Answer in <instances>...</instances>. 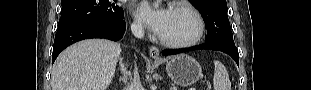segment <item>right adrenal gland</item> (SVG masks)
Segmentation results:
<instances>
[{"mask_svg": "<svg viewBox=\"0 0 311 90\" xmlns=\"http://www.w3.org/2000/svg\"><path fill=\"white\" fill-rule=\"evenodd\" d=\"M120 68H121L122 77H120L119 80L121 82H127L128 76H130V73L127 71L125 64L121 60H120Z\"/></svg>", "mask_w": 311, "mask_h": 90, "instance_id": "obj_1", "label": "right adrenal gland"}]
</instances>
